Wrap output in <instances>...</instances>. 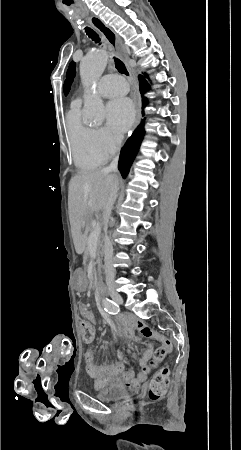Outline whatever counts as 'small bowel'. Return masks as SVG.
I'll return each instance as SVG.
<instances>
[{
  "instance_id": "small-bowel-1",
  "label": "small bowel",
  "mask_w": 241,
  "mask_h": 450,
  "mask_svg": "<svg viewBox=\"0 0 241 450\" xmlns=\"http://www.w3.org/2000/svg\"><path fill=\"white\" fill-rule=\"evenodd\" d=\"M80 310L82 316L84 317V320L81 322V326L82 324H93L95 321L93 312L86 306H82ZM136 332H139L147 337H154L160 343L166 342L169 344V340L167 338L155 333L144 322L139 320L124 326L120 331V336L125 339L134 340L136 339ZM149 333L152 335L148 336ZM86 354L88 355H84L86 371L88 375L95 380L98 387H103L109 384H118L124 385L125 387L131 389H136L147 380L150 369L152 368L151 362L154 359L153 346L150 344L143 357L139 360L140 371L137 375H135L133 369H127L126 362L122 360L113 361L105 358L102 364H97L95 362V356H93L95 354V349L93 347H88L86 349ZM132 356L134 357V354H132Z\"/></svg>"
}]
</instances>
